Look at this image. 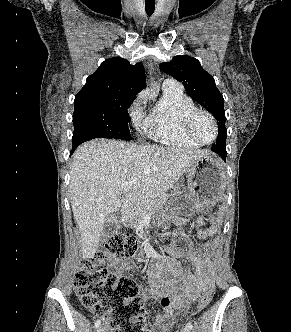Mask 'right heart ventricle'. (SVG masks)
<instances>
[{
  "label": "right heart ventricle",
  "mask_w": 291,
  "mask_h": 332,
  "mask_svg": "<svg viewBox=\"0 0 291 332\" xmlns=\"http://www.w3.org/2000/svg\"><path fill=\"white\" fill-rule=\"evenodd\" d=\"M195 107L182 90L163 89V95L151 106L145 121V130L154 140L177 148L195 149L200 145L184 132V114Z\"/></svg>",
  "instance_id": "obj_1"
}]
</instances>
